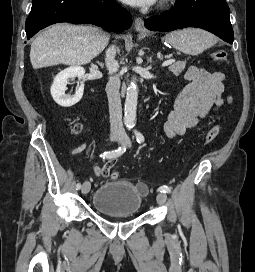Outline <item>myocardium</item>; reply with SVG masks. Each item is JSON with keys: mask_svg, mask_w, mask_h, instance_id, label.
Here are the masks:
<instances>
[{"mask_svg": "<svg viewBox=\"0 0 255 272\" xmlns=\"http://www.w3.org/2000/svg\"><path fill=\"white\" fill-rule=\"evenodd\" d=\"M168 1H170V0H163L164 3L168 2Z\"/></svg>", "mask_w": 255, "mask_h": 272, "instance_id": "1", "label": "myocardium"}]
</instances>
